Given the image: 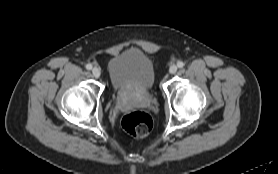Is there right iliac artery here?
<instances>
[{
  "mask_svg": "<svg viewBox=\"0 0 278 174\" xmlns=\"http://www.w3.org/2000/svg\"><path fill=\"white\" fill-rule=\"evenodd\" d=\"M86 69H87V70H91V69H92V65H91V64H87V65H86Z\"/></svg>",
  "mask_w": 278,
  "mask_h": 174,
  "instance_id": "right-iliac-artery-1",
  "label": "right iliac artery"
}]
</instances>
